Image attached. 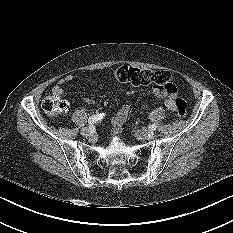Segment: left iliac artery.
Segmentation results:
<instances>
[{
  "label": "left iliac artery",
  "instance_id": "obj_1",
  "mask_svg": "<svg viewBox=\"0 0 233 233\" xmlns=\"http://www.w3.org/2000/svg\"><path fill=\"white\" fill-rule=\"evenodd\" d=\"M151 130H156L157 126L155 124L150 125L149 127Z\"/></svg>",
  "mask_w": 233,
  "mask_h": 233
}]
</instances>
